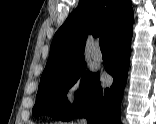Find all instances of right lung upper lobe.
<instances>
[{"mask_svg":"<svg viewBox=\"0 0 156 124\" xmlns=\"http://www.w3.org/2000/svg\"><path fill=\"white\" fill-rule=\"evenodd\" d=\"M132 25L130 0H79L77 9L54 35L41 79L85 63L84 47L88 34H105L109 45Z\"/></svg>","mask_w":156,"mask_h":124,"instance_id":"obj_1","label":"right lung upper lobe"}]
</instances>
